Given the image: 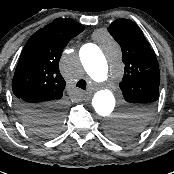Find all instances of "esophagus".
Here are the masks:
<instances>
[{
  "mask_svg": "<svg viewBox=\"0 0 174 174\" xmlns=\"http://www.w3.org/2000/svg\"><path fill=\"white\" fill-rule=\"evenodd\" d=\"M91 96V93H87V99L90 98Z\"/></svg>",
  "mask_w": 174,
  "mask_h": 174,
  "instance_id": "obj_1",
  "label": "esophagus"
}]
</instances>
